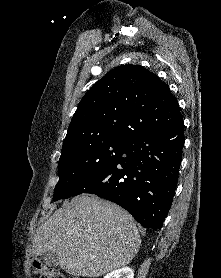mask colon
Instances as JSON below:
<instances>
[{"mask_svg": "<svg viewBox=\"0 0 221 278\" xmlns=\"http://www.w3.org/2000/svg\"><path fill=\"white\" fill-rule=\"evenodd\" d=\"M32 265L39 278H64L58 269L41 262L39 259H34Z\"/></svg>", "mask_w": 221, "mask_h": 278, "instance_id": "colon-1", "label": "colon"}]
</instances>
